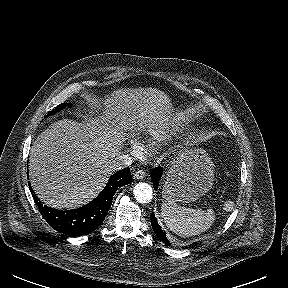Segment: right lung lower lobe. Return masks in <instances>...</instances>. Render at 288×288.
Here are the masks:
<instances>
[{
  "label": "right lung lower lobe",
  "mask_w": 288,
  "mask_h": 288,
  "mask_svg": "<svg viewBox=\"0 0 288 288\" xmlns=\"http://www.w3.org/2000/svg\"><path fill=\"white\" fill-rule=\"evenodd\" d=\"M132 182L130 169L112 175L101 193L87 205L73 210H57L43 205L32 191L33 198L43 218L58 232L68 236H81L96 230L104 221L116 191Z\"/></svg>",
  "instance_id": "obj_1"
}]
</instances>
